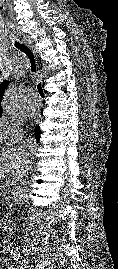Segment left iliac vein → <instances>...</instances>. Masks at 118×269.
I'll return each instance as SVG.
<instances>
[{"instance_id":"1","label":"left iliac vein","mask_w":118,"mask_h":269,"mask_svg":"<svg viewBox=\"0 0 118 269\" xmlns=\"http://www.w3.org/2000/svg\"><path fill=\"white\" fill-rule=\"evenodd\" d=\"M26 265H27L26 262H22V267H23V269H25Z\"/></svg>"}]
</instances>
